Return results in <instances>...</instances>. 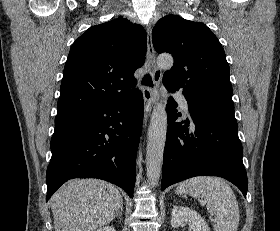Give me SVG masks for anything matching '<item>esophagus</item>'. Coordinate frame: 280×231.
<instances>
[{
  "label": "esophagus",
  "mask_w": 280,
  "mask_h": 231,
  "mask_svg": "<svg viewBox=\"0 0 280 231\" xmlns=\"http://www.w3.org/2000/svg\"><path fill=\"white\" fill-rule=\"evenodd\" d=\"M147 33V61L151 68V76L154 84L153 88L144 87V121L147 122L148 116L152 111L153 106L157 101L158 88L161 82L162 72L156 65L155 52L152 44V27L150 24L146 25Z\"/></svg>",
  "instance_id": "obj_1"
}]
</instances>
